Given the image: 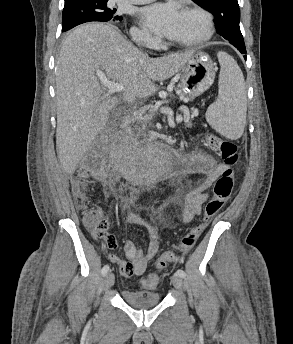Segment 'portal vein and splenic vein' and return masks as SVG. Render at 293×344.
Returning a JSON list of instances; mask_svg holds the SVG:
<instances>
[{
    "mask_svg": "<svg viewBox=\"0 0 293 344\" xmlns=\"http://www.w3.org/2000/svg\"><path fill=\"white\" fill-rule=\"evenodd\" d=\"M101 74H99V77L101 78ZM101 83L103 85V87L108 91L109 94L115 93V92H121L124 90V86L122 84L119 83H115L112 81L107 80L106 78L101 79ZM198 115V111L195 110L192 114V117L197 116ZM190 119V117L184 118V121H188ZM182 120V118H178L177 121Z\"/></svg>",
    "mask_w": 293,
    "mask_h": 344,
    "instance_id": "obj_1",
    "label": "portal vein and splenic vein"
}]
</instances>
